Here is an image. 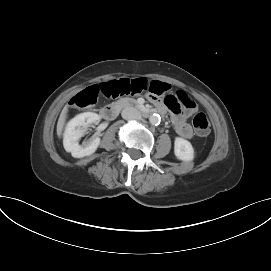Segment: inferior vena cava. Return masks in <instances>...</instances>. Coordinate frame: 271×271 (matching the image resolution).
<instances>
[{
	"label": "inferior vena cava",
	"mask_w": 271,
	"mask_h": 271,
	"mask_svg": "<svg viewBox=\"0 0 271 271\" xmlns=\"http://www.w3.org/2000/svg\"><path fill=\"white\" fill-rule=\"evenodd\" d=\"M122 118L129 120V119H140L141 114L140 112L134 107H126L122 110Z\"/></svg>",
	"instance_id": "obj_1"
}]
</instances>
